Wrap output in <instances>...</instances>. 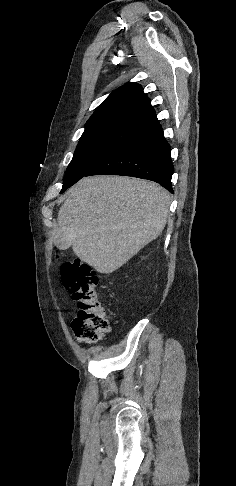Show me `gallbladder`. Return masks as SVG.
Returning a JSON list of instances; mask_svg holds the SVG:
<instances>
[{
	"mask_svg": "<svg viewBox=\"0 0 236 486\" xmlns=\"http://www.w3.org/2000/svg\"><path fill=\"white\" fill-rule=\"evenodd\" d=\"M55 245L59 248V249H67L69 247L68 243H66L65 241H63V230H61L60 228H58L56 230V233H55Z\"/></svg>",
	"mask_w": 236,
	"mask_h": 486,
	"instance_id": "obj_1",
	"label": "gallbladder"
}]
</instances>
